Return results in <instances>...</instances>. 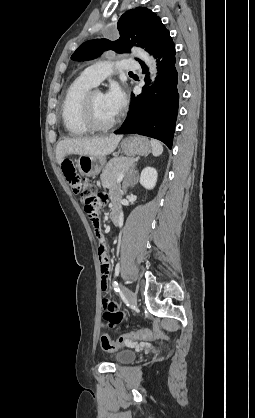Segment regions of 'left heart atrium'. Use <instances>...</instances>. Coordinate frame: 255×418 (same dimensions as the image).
<instances>
[{
    "label": "left heart atrium",
    "instance_id": "39dd6f15",
    "mask_svg": "<svg viewBox=\"0 0 255 418\" xmlns=\"http://www.w3.org/2000/svg\"><path fill=\"white\" fill-rule=\"evenodd\" d=\"M105 103L110 112L116 116L126 106L127 98L125 92L117 85H112L104 95Z\"/></svg>",
    "mask_w": 255,
    "mask_h": 418
}]
</instances>
